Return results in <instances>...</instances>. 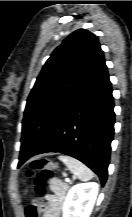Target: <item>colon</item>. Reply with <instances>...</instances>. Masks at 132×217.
Instances as JSON below:
<instances>
[{
	"label": "colon",
	"mask_w": 132,
	"mask_h": 217,
	"mask_svg": "<svg viewBox=\"0 0 132 217\" xmlns=\"http://www.w3.org/2000/svg\"><path fill=\"white\" fill-rule=\"evenodd\" d=\"M57 164L48 159H37L34 160L29 170L27 171V177L32 180L35 191L38 195L45 193V184L50 179L54 172L57 170ZM39 207L30 205L27 208L28 217H38Z\"/></svg>",
	"instance_id": "colon-1"
}]
</instances>
